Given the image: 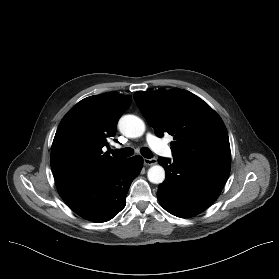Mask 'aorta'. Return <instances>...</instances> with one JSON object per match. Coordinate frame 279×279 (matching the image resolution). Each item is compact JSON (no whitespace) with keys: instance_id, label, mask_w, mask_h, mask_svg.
Returning <instances> with one entry per match:
<instances>
[{"instance_id":"762f6f07","label":"aorta","mask_w":279,"mask_h":279,"mask_svg":"<svg viewBox=\"0 0 279 279\" xmlns=\"http://www.w3.org/2000/svg\"><path fill=\"white\" fill-rule=\"evenodd\" d=\"M119 130L127 137L136 138L143 135L145 124L143 120L135 115H124L118 123ZM148 180L154 184H160L165 180L164 168L154 165L147 172Z\"/></svg>"}]
</instances>
